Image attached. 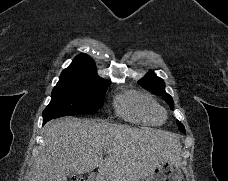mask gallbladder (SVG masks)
I'll return each instance as SVG.
<instances>
[{"mask_svg": "<svg viewBox=\"0 0 228 181\" xmlns=\"http://www.w3.org/2000/svg\"><path fill=\"white\" fill-rule=\"evenodd\" d=\"M73 171H70V173H68V175H72Z\"/></svg>", "mask_w": 228, "mask_h": 181, "instance_id": "1", "label": "gallbladder"}]
</instances>
